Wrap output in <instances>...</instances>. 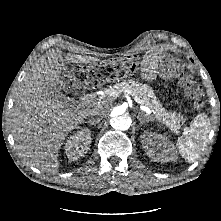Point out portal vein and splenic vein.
Returning a JSON list of instances; mask_svg holds the SVG:
<instances>
[{
	"label": "portal vein and splenic vein",
	"instance_id": "portal-vein-and-splenic-vein-1",
	"mask_svg": "<svg viewBox=\"0 0 221 221\" xmlns=\"http://www.w3.org/2000/svg\"><path fill=\"white\" fill-rule=\"evenodd\" d=\"M125 92H127L128 94H130L128 91H126L125 90ZM131 95V94H130ZM118 96V95H117ZM132 96V95H131ZM133 97V96H132ZM134 98V100L137 102V103H139V99L135 96V97H133ZM140 110H142V111H144V112H146L147 114H151V110L148 108V107H146V106H140ZM187 133V131H186V129H184V132H183V134H186Z\"/></svg>",
	"mask_w": 221,
	"mask_h": 221
}]
</instances>
